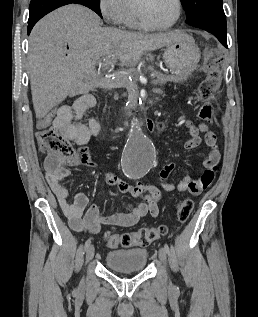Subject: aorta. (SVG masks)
I'll return each instance as SVG.
<instances>
[{
	"label": "aorta",
	"mask_w": 258,
	"mask_h": 317,
	"mask_svg": "<svg viewBox=\"0 0 258 317\" xmlns=\"http://www.w3.org/2000/svg\"><path fill=\"white\" fill-rule=\"evenodd\" d=\"M155 157L152 141L143 133L138 120L133 118L121 160L124 174L134 179L143 177L152 168Z\"/></svg>",
	"instance_id": "obj_1"
}]
</instances>
